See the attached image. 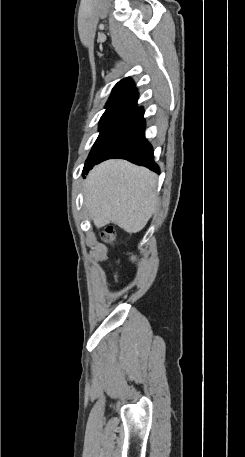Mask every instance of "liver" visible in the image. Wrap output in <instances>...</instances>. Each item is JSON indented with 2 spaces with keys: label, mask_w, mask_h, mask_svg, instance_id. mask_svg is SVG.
<instances>
[{
  "label": "liver",
  "mask_w": 245,
  "mask_h": 457,
  "mask_svg": "<svg viewBox=\"0 0 245 457\" xmlns=\"http://www.w3.org/2000/svg\"><path fill=\"white\" fill-rule=\"evenodd\" d=\"M156 186L149 168L112 158L90 170L84 202L97 229L113 220L127 233H139L156 208Z\"/></svg>",
  "instance_id": "6515ba94"
}]
</instances>
